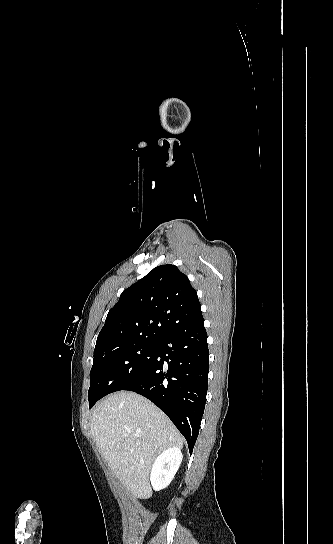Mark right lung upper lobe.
I'll list each match as a JSON object with an SVG mask.
<instances>
[{
    "mask_svg": "<svg viewBox=\"0 0 333 544\" xmlns=\"http://www.w3.org/2000/svg\"><path fill=\"white\" fill-rule=\"evenodd\" d=\"M200 316L188 277L175 265L157 266L122 292L98 335L94 355L136 340H159Z\"/></svg>",
    "mask_w": 333,
    "mask_h": 544,
    "instance_id": "1",
    "label": "right lung upper lobe"
}]
</instances>
